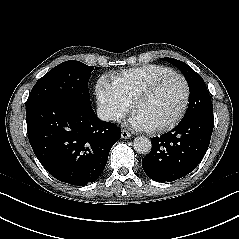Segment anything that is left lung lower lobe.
I'll list each match as a JSON object with an SVG mask.
<instances>
[{"mask_svg": "<svg viewBox=\"0 0 239 239\" xmlns=\"http://www.w3.org/2000/svg\"><path fill=\"white\" fill-rule=\"evenodd\" d=\"M213 125V113H201L152 138V149L142 160L144 172L157 182H171L192 172L208 149Z\"/></svg>", "mask_w": 239, "mask_h": 239, "instance_id": "left-lung-lower-lobe-1", "label": "left lung lower lobe"}]
</instances>
